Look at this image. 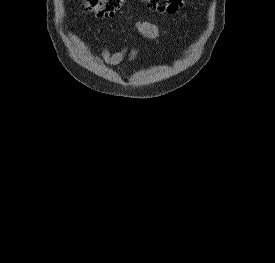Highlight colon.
Instances as JSON below:
<instances>
[{
    "label": "colon",
    "instance_id": "obj_1",
    "mask_svg": "<svg viewBox=\"0 0 275 263\" xmlns=\"http://www.w3.org/2000/svg\"><path fill=\"white\" fill-rule=\"evenodd\" d=\"M126 0H82L86 12L98 17H109L117 13ZM147 7L156 12L175 13L184 6V0H143Z\"/></svg>",
    "mask_w": 275,
    "mask_h": 263
}]
</instances>
